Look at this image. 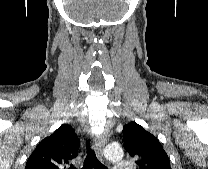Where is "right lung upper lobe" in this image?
Segmentation results:
<instances>
[{"mask_svg":"<svg viewBox=\"0 0 208 169\" xmlns=\"http://www.w3.org/2000/svg\"><path fill=\"white\" fill-rule=\"evenodd\" d=\"M79 146L74 129L63 124L37 145L25 169H74L67 168V165L77 157Z\"/></svg>","mask_w":208,"mask_h":169,"instance_id":"obj_1","label":"right lung upper lobe"}]
</instances>
